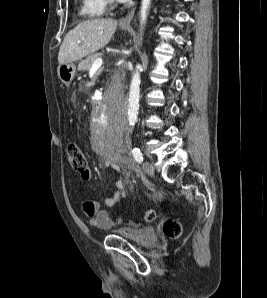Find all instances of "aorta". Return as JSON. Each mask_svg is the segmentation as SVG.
Here are the masks:
<instances>
[{
  "instance_id": "obj_1",
  "label": "aorta",
  "mask_w": 267,
  "mask_h": 298,
  "mask_svg": "<svg viewBox=\"0 0 267 298\" xmlns=\"http://www.w3.org/2000/svg\"><path fill=\"white\" fill-rule=\"evenodd\" d=\"M151 0H142L140 11V23L141 27L145 25L147 20V11L150 7ZM140 65L136 66V71L133 74L130 91H129V103H128V123L130 126H134L137 122V115L139 110V97H140Z\"/></svg>"
}]
</instances>
